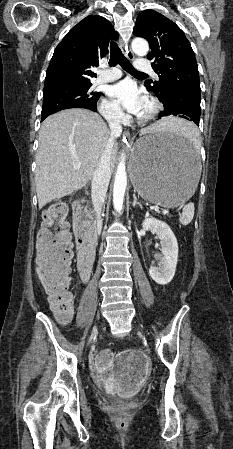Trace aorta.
I'll use <instances>...</instances> for the list:
<instances>
[{"label":"aorta","mask_w":233,"mask_h":449,"mask_svg":"<svg viewBox=\"0 0 233 449\" xmlns=\"http://www.w3.org/2000/svg\"><path fill=\"white\" fill-rule=\"evenodd\" d=\"M132 50L138 56H145L149 51V45L146 40L135 38L131 43ZM127 186V174L125 166V155L121 156L118 164L114 187H113V205L116 212H121L123 208L124 195Z\"/></svg>","instance_id":"obj_1"}]
</instances>
